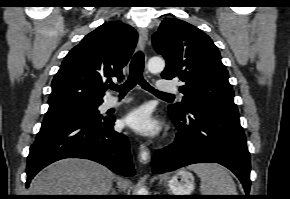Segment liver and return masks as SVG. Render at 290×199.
I'll return each mask as SVG.
<instances>
[{"label": "liver", "mask_w": 290, "mask_h": 199, "mask_svg": "<svg viewBox=\"0 0 290 199\" xmlns=\"http://www.w3.org/2000/svg\"><path fill=\"white\" fill-rule=\"evenodd\" d=\"M115 175L84 159L68 158L48 166L31 182V195H109Z\"/></svg>", "instance_id": "1"}]
</instances>
